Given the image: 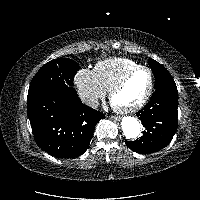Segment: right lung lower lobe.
I'll list each match as a JSON object with an SVG mask.
<instances>
[{
    "label": "right lung lower lobe",
    "instance_id": "right-lung-lower-lobe-1",
    "mask_svg": "<svg viewBox=\"0 0 200 200\" xmlns=\"http://www.w3.org/2000/svg\"><path fill=\"white\" fill-rule=\"evenodd\" d=\"M27 115L38 146L58 158L83 154L97 122L105 117L83 104L72 87L28 94Z\"/></svg>",
    "mask_w": 200,
    "mask_h": 200
}]
</instances>
